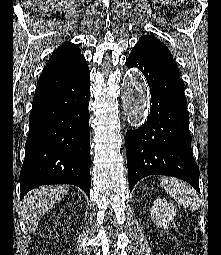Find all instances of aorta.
Wrapping results in <instances>:
<instances>
[{
    "label": "aorta",
    "instance_id": "1",
    "mask_svg": "<svg viewBox=\"0 0 221 255\" xmlns=\"http://www.w3.org/2000/svg\"><path fill=\"white\" fill-rule=\"evenodd\" d=\"M125 104L130 123L133 126L142 125L149 108V93L144 81L136 72L126 85Z\"/></svg>",
    "mask_w": 221,
    "mask_h": 255
}]
</instances>
